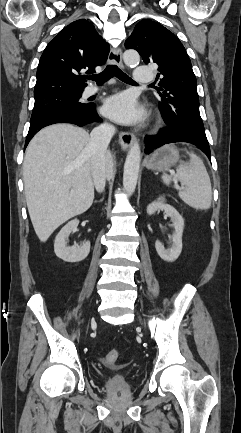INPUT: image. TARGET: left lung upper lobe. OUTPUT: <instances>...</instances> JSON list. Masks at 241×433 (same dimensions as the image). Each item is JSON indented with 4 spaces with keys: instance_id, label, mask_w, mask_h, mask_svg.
<instances>
[{
    "instance_id": "obj_1",
    "label": "left lung upper lobe",
    "mask_w": 241,
    "mask_h": 433,
    "mask_svg": "<svg viewBox=\"0 0 241 433\" xmlns=\"http://www.w3.org/2000/svg\"><path fill=\"white\" fill-rule=\"evenodd\" d=\"M145 64L158 65L159 109L167 126L183 129L207 141L199 113L196 78L186 50L168 29L152 20L140 21L126 40Z\"/></svg>"
}]
</instances>
